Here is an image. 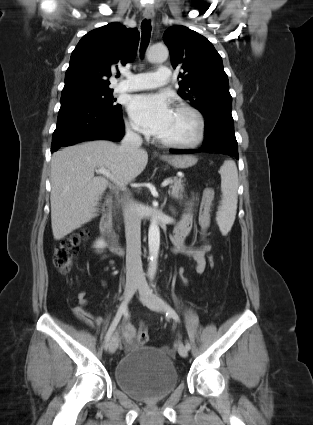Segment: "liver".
I'll return each instance as SVG.
<instances>
[{"instance_id":"1","label":"liver","mask_w":313,"mask_h":425,"mask_svg":"<svg viewBox=\"0 0 313 425\" xmlns=\"http://www.w3.org/2000/svg\"><path fill=\"white\" fill-rule=\"evenodd\" d=\"M148 163V154H134L105 140L66 147L51 160V225L55 240H61L96 216V206L107 189L108 179L95 176L104 167L120 185L140 175Z\"/></svg>"}]
</instances>
